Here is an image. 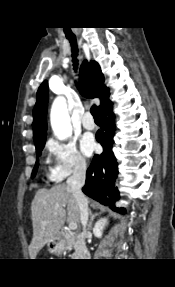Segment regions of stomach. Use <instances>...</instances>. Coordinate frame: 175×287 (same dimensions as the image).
Here are the masks:
<instances>
[{"label": "stomach", "instance_id": "0dacf381", "mask_svg": "<svg viewBox=\"0 0 175 287\" xmlns=\"http://www.w3.org/2000/svg\"><path fill=\"white\" fill-rule=\"evenodd\" d=\"M65 241L59 235L52 237L47 243L48 251L54 254H59L64 250Z\"/></svg>", "mask_w": 175, "mask_h": 287}]
</instances>
